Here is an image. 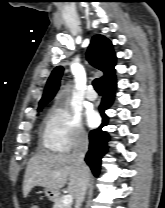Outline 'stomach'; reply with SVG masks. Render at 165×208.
I'll list each match as a JSON object with an SVG mask.
<instances>
[{"label":"stomach","mask_w":165,"mask_h":208,"mask_svg":"<svg viewBox=\"0 0 165 208\" xmlns=\"http://www.w3.org/2000/svg\"><path fill=\"white\" fill-rule=\"evenodd\" d=\"M45 195L51 201H55L59 197V193L57 191H54V190H51V189H45Z\"/></svg>","instance_id":"stomach-1"}]
</instances>
